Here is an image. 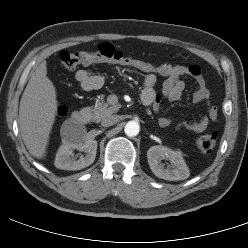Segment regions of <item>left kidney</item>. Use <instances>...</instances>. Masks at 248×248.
<instances>
[{"label":"left kidney","mask_w":248,"mask_h":248,"mask_svg":"<svg viewBox=\"0 0 248 248\" xmlns=\"http://www.w3.org/2000/svg\"><path fill=\"white\" fill-rule=\"evenodd\" d=\"M167 157L172 162L171 168H164L159 159ZM147 159L150 169L158 178L178 181L189 177V168L187 167L180 151L171 150L165 146H152L147 151Z\"/></svg>","instance_id":"obj_1"}]
</instances>
